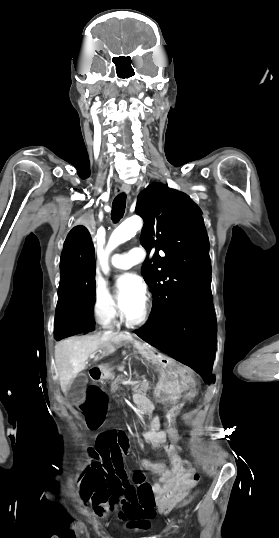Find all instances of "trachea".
I'll list each match as a JSON object with an SVG mask.
<instances>
[{
    "instance_id": "trachea-1",
    "label": "trachea",
    "mask_w": 279,
    "mask_h": 538,
    "mask_svg": "<svg viewBox=\"0 0 279 538\" xmlns=\"http://www.w3.org/2000/svg\"><path fill=\"white\" fill-rule=\"evenodd\" d=\"M126 208V195L125 193H119L115 197L112 203L111 219L114 223H118L125 213Z\"/></svg>"
}]
</instances>
